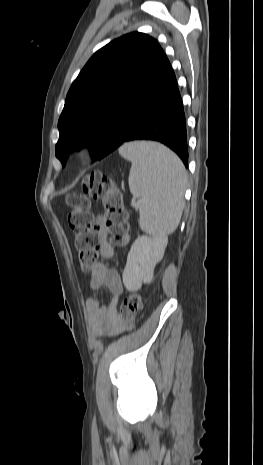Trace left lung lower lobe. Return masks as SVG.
I'll return each mask as SVG.
<instances>
[{
    "label": "left lung lower lobe",
    "instance_id": "obj_1",
    "mask_svg": "<svg viewBox=\"0 0 263 465\" xmlns=\"http://www.w3.org/2000/svg\"><path fill=\"white\" fill-rule=\"evenodd\" d=\"M186 139L185 114L176 77L162 53L139 82L135 99L122 108L109 141L95 159L104 158L125 142L153 140L171 148L187 167Z\"/></svg>",
    "mask_w": 263,
    "mask_h": 465
}]
</instances>
